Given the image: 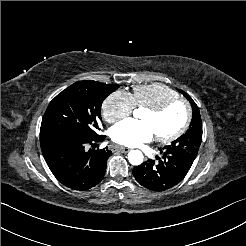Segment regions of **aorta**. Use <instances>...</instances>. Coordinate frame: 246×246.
<instances>
[{"mask_svg": "<svg viewBox=\"0 0 246 246\" xmlns=\"http://www.w3.org/2000/svg\"><path fill=\"white\" fill-rule=\"evenodd\" d=\"M143 153L139 150H131L128 153V160L130 164L138 166L143 162Z\"/></svg>", "mask_w": 246, "mask_h": 246, "instance_id": "1", "label": "aorta"}]
</instances>
